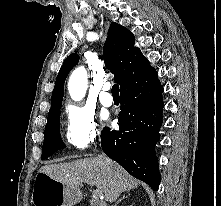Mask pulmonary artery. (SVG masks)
Here are the masks:
<instances>
[{"mask_svg":"<svg viewBox=\"0 0 221 206\" xmlns=\"http://www.w3.org/2000/svg\"><path fill=\"white\" fill-rule=\"evenodd\" d=\"M111 86L108 83H105L102 87V92L100 94V102L104 105V106H111L113 104V98L111 96V94L109 93Z\"/></svg>","mask_w":221,"mask_h":206,"instance_id":"obj_1","label":"pulmonary artery"}]
</instances>
